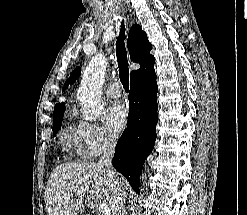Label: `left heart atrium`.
Returning a JSON list of instances; mask_svg holds the SVG:
<instances>
[{"label": "left heart atrium", "instance_id": "left-heart-atrium-1", "mask_svg": "<svg viewBox=\"0 0 247 215\" xmlns=\"http://www.w3.org/2000/svg\"><path fill=\"white\" fill-rule=\"evenodd\" d=\"M127 118L128 110L122 103L112 104L105 114V122L107 126L115 133H119L124 129Z\"/></svg>", "mask_w": 247, "mask_h": 215}]
</instances>
